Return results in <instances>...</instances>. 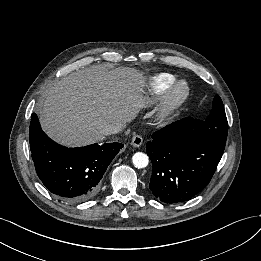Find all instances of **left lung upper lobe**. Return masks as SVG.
<instances>
[{
  "mask_svg": "<svg viewBox=\"0 0 261 261\" xmlns=\"http://www.w3.org/2000/svg\"><path fill=\"white\" fill-rule=\"evenodd\" d=\"M207 138L216 145L224 148L227 138L228 123L221 98L216 95L211 114L204 121Z\"/></svg>",
  "mask_w": 261,
  "mask_h": 261,
  "instance_id": "left-lung-upper-lobe-1",
  "label": "left lung upper lobe"
}]
</instances>
